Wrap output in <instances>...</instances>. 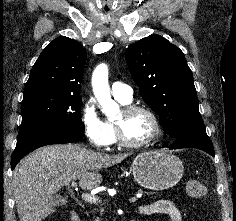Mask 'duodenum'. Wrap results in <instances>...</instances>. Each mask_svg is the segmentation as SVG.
Wrapping results in <instances>:
<instances>
[{
  "label": "duodenum",
  "instance_id": "duodenum-1",
  "mask_svg": "<svg viewBox=\"0 0 236 221\" xmlns=\"http://www.w3.org/2000/svg\"><path fill=\"white\" fill-rule=\"evenodd\" d=\"M70 221H81L80 215L76 210H73L70 215ZM130 221H136L135 219H131Z\"/></svg>",
  "mask_w": 236,
  "mask_h": 221
}]
</instances>
